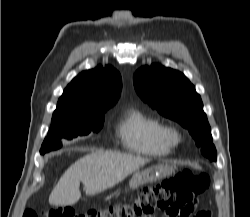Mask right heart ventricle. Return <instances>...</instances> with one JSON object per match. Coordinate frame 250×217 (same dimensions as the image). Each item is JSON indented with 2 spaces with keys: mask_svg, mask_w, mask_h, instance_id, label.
<instances>
[{
  "mask_svg": "<svg viewBox=\"0 0 250 217\" xmlns=\"http://www.w3.org/2000/svg\"><path fill=\"white\" fill-rule=\"evenodd\" d=\"M115 132L122 147L131 153L162 157L172 151V145L165 138L163 124L140 109L125 110L116 123Z\"/></svg>",
  "mask_w": 250,
  "mask_h": 217,
  "instance_id": "right-heart-ventricle-1",
  "label": "right heart ventricle"
}]
</instances>
